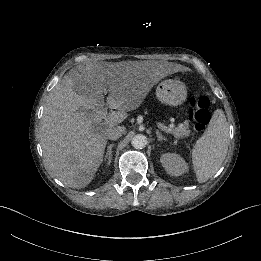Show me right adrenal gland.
<instances>
[{
  "label": "right adrenal gland",
  "instance_id": "right-adrenal-gland-1",
  "mask_svg": "<svg viewBox=\"0 0 261 261\" xmlns=\"http://www.w3.org/2000/svg\"><path fill=\"white\" fill-rule=\"evenodd\" d=\"M114 147V144H110L108 145L107 147V152L105 154V157H104V160L108 159V165L111 164V161H112V148Z\"/></svg>",
  "mask_w": 261,
  "mask_h": 261
}]
</instances>
